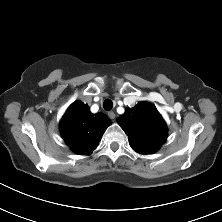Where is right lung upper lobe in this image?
I'll list each match as a JSON object with an SVG mask.
<instances>
[{"label": "right lung upper lobe", "mask_w": 222, "mask_h": 222, "mask_svg": "<svg viewBox=\"0 0 222 222\" xmlns=\"http://www.w3.org/2000/svg\"><path fill=\"white\" fill-rule=\"evenodd\" d=\"M110 125L103 113L92 114L89 106L81 101L72 103L61 122V135L71 150L80 155H89L96 149L105 129Z\"/></svg>", "instance_id": "cb5924a9"}]
</instances>
